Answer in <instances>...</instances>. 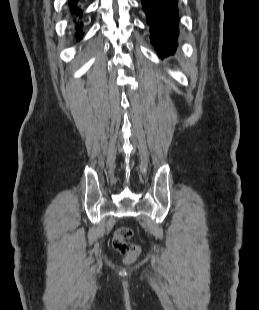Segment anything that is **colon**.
I'll return each instance as SVG.
<instances>
[{"mask_svg": "<svg viewBox=\"0 0 259 310\" xmlns=\"http://www.w3.org/2000/svg\"><path fill=\"white\" fill-rule=\"evenodd\" d=\"M132 233L130 227H121L115 231L112 239L113 248L120 254L124 255L128 262L135 261L141 252L138 245L128 241L132 236Z\"/></svg>", "mask_w": 259, "mask_h": 310, "instance_id": "colon-1", "label": "colon"}]
</instances>
